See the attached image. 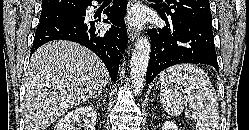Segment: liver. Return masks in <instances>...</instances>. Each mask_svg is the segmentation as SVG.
Masks as SVG:
<instances>
[{"mask_svg": "<svg viewBox=\"0 0 249 130\" xmlns=\"http://www.w3.org/2000/svg\"><path fill=\"white\" fill-rule=\"evenodd\" d=\"M109 79L103 62L79 44L59 40L41 46L26 73L27 130H46L69 109L104 89Z\"/></svg>", "mask_w": 249, "mask_h": 130, "instance_id": "6515ba94", "label": "liver"}]
</instances>
